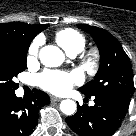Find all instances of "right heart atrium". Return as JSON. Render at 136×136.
Returning a JSON list of instances; mask_svg holds the SVG:
<instances>
[{
	"mask_svg": "<svg viewBox=\"0 0 136 136\" xmlns=\"http://www.w3.org/2000/svg\"><path fill=\"white\" fill-rule=\"evenodd\" d=\"M39 46H40V40L39 39H35L31 43L29 50H28V56H27L28 63H32L36 60L38 50H39Z\"/></svg>",
	"mask_w": 136,
	"mask_h": 136,
	"instance_id": "1",
	"label": "right heart atrium"
}]
</instances>
